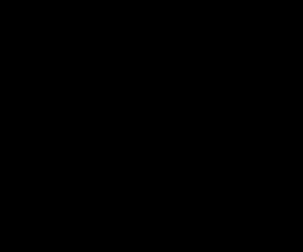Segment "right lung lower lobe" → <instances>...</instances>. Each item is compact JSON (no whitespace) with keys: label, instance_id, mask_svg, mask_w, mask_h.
Returning <instances> with one entry per match:
<instances>
[{"label":"right lung lower lobe","instance_id":"98d812e1","mask_svg":"<svg viewBox=\"0 0 303 252\" xmlns=\"http://www.w3.org/2000/svg\"><path fill=\"white\" fill-rule=\"evenodd\" d=\"M120 133L88 123H78L72 127V136L68 140L71 161L84 183L97 193L111 194L123 190L142 148L140 145L128 147L126 161L117 157L109 158L99 150L98 145L112 149L110 143L115 144Z\"/></svg>","mask_w":303,"mask_h":252}]
</instances>
